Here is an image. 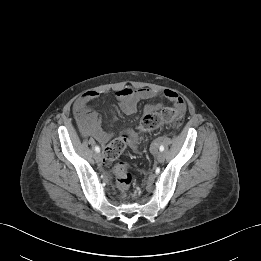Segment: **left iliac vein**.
I'll use <instances>...</instances> for the list:
<instances>
[{"label":"left iliac vein","mask_w":261,"mask_h":261,"mask_svg":"<svg viewBox=\"0 0 261 261\" xmlns=\"http://www.w3.org/2000/svg\"><path fill=\"white\" fill-rule=\"evenodd\" d=\"M155 157L158 163H163L165 160L164 154L161 151L157 152Z\"/></svg>","instance_id":"obj_1"}]
</instances>
